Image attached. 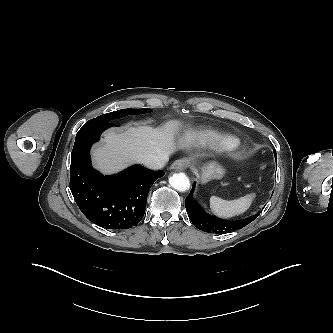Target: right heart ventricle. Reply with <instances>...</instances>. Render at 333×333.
<instances>
[{
  "label": "right heart ventricle",
  "mask_w": 333,
  "mask_h": 333,
  "mask_svg": "<svg viewBox=\"0 0 333 333\" xmlns=\"http://www.w3.org/2000/svg\"><path fill=\"white\" fill-rule=\"evenodd\" d=\"M184 140L188 145L193 146H212L219 143L231 146L235 144L234 139L212 129L190 130L185 134Z\"/></svg>",
  "instance_id": "e07e8e85"
}]
</instances>
